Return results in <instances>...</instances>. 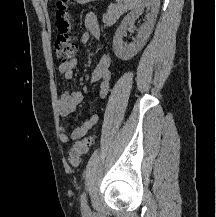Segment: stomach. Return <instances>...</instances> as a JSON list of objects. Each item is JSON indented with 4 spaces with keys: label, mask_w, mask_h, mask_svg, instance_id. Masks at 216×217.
<instances>
[{
    "label": "stomach",
    "mask_w": 216,
    "mask_h": 217,
    "mask_svg": "<svg viewBox=\"0 0 216 217\" xmlns=\"http://www.w3.org/2000/svg\"><path fill=\"white\" fill-rule=\"evenodd\" d=\"M78 4H81V5H84V4H87L89 2H93V1H96V0H75Z\"/></svg>",
    "instance_id": "1"
}]
</instances>
